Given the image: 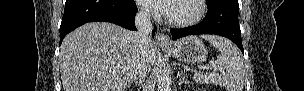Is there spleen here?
Segmentation results:
<instances>
[{
  "mask_svg": "<svg viewBox=\"0 0 304 91\" xmlns=\"http://www.w3.org/2000/svg\"><path fill=\"white\" fill-rule=\"evenodd\" d=\"M204 39L220 52L216 61L220 65V74L216 71L209 74L196 72L194 80L198 83L225 86L228 91H243L245 70L238 48L230 40L220 36H205Z\"/></svg>",
  "mask_w": 304,
  "mask_h": 91,
  "instance_id": "1",
  "label": "spleen"
}]
</instances>
